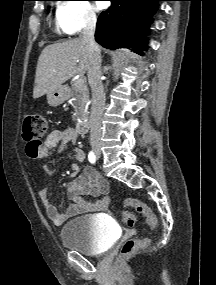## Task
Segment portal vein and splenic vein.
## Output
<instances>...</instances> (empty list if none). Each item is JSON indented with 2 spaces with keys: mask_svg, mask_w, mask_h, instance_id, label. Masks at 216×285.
I'll use <instances>...</instances> for the list:
<instances>
[{
  "mask_svg": "<svg viewBox=\"0 0 216 285\" xmlns=\"http://www.w3.org/2000/svg\"><path fill=\"white\" fill-rule=\"evenodd\" d=\"M83 84H84L83 78H79V79H77V80L75 81V85H76L77 87H81V86H83Z\"/></svg>",
  "mask_w": 216,
  "mask_h": 285,
  "instance_id": "obj_1",
  "label": "portal vein and splenic vein"
}]
</instances>
